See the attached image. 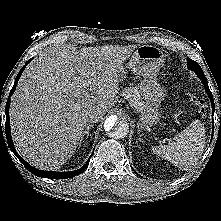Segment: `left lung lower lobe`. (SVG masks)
Returning <instances> with one entry per match:
<instances>
[{
  "label": "left lung lower lobe",
  "instance_id": "left-lung-lower-lobe-1",
  "mask_svg": "<svg viewBox=\"0 0 221 221\" xmlns=\"http://www.w3.org/2000/svg\"><path fill=\"white\" fill-rule=\"evenodd\" d=\"M194 72L202 80V83L204 84V88L207 91L208 96H209V98H210V100L212 102V108H213V112H214V100H213L212 93H211V91L209 89L208 82H207V79H206V77L204 75V72L202 70H197V71H194Z\"/></svg>",
  "mask_w": 221,
  "mask_h": 221
}]
</instances>
